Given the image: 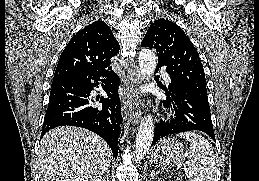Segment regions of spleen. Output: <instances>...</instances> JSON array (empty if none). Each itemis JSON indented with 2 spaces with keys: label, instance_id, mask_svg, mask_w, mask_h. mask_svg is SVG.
<instances>
[{
  "label": "spleen",
  "instance_id": "1",
  "mask_svg": "<svg viewBox=\"0 0 259 181\" xmlns=\"http://www.w3.org/2000/svg\"><path fill=\"white\" fill-rule=\"evenodd\" d=\"M191 142L184 171L189 181H216V162L212 145L204 137L194 132L177 135Z\"/></svg>",
  "mask_w": 259,
  "mask_h": 181
}]
</instances>
